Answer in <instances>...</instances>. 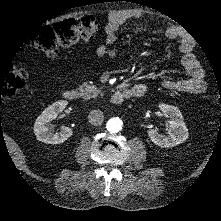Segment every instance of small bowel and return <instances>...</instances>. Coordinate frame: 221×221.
Here are the masks:
<instances>
[{
    "label": "small bowel",
    "mask_w": 221,
    "mask_h": 221,
    "mask_svg": "<svg viewBox=\"0 0 221 221\" xmlns=\"http://www.w3.org/2000/svg\"><path fill=\"white\" fill-rule=\"evenodd\" d=\"M141 13L138 11L125 10L120 12H112L108 16V23L105 27V38L96 48L98 57L116 58L117 52L111 46L116 42L117 35L121 25L132 18H140ZM167 37L176 39L178 34L175 29H168ZM180 51L182 53L181 63L189 74L187 79H165L162 85L170 91H180L191 94H202L206 90L204 82V71L201 68L195 56L191 53L193 43L189 38H184L180 41Z\"/></svg>",
    "instance_id": "c3829d8e"
}]
</instances>
